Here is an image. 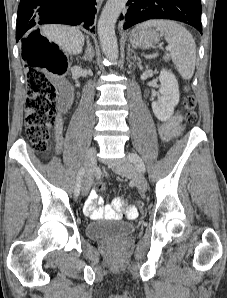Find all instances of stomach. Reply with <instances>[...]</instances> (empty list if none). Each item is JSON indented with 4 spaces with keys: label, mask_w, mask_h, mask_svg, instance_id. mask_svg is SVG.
I'll list each match as a JSON object with an SVG mask.
<instances>
[{
    "label": "stomach",
    "mask_w": 227,
    "mask_h": 298,
    "mask_svg": "<svg viewBox=\"0 0 227 298\" xmlns=\"http://www.w3.org/2000/svg\"><path fill=\"white\" fill-rule=\"evenodd\" d=\"M161 35L150 27L140 28L132 31L130 34V42L136 47L149 49L157 44Z\"/></svg>",
    "instance_id": "0dacf381"
}]
</instances>
